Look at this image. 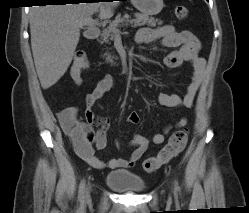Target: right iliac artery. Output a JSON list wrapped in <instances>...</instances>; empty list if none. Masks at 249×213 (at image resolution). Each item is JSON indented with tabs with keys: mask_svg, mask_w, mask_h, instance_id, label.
I'll use <instances>...</instances> for the list:
<instances>
[{
	"mask_svg": "<svg viewBox=\"0 0 249 213\" xmlns=\"http://www.w3.org/2000/svg\"><path fill=\"white\" fill-rule=\"evenodd\" d=\"M84 188H85V179H83L79 185L78 198H79V201L81 202L84 199Z\"/></svg>",
	"mask_w": 249,
	"mask_h": 213,
	"instance_id": "obj_1",
	"label": "right iliac artery"
}]
</instances>
